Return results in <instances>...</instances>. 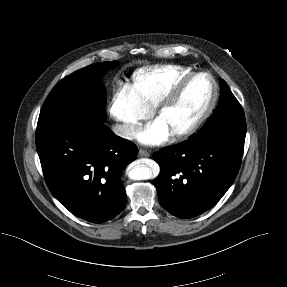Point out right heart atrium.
Here are the masks:
<instances>
[{
	"instance_id": "1",
	"label": "right heart atrium",
	"mask_w": 287,
	"mask_h": 287,
	"mask_svg": "<svg viewBox=\"0 0 287 287\" xmlns=\"http://www.w3.org/2000/svg\"><path fill=\"white\" fill-rule=\"evenodd\" d=\"M109 114L118 123L121 136L129 139L135 135L148 112L141 107L130 85L121 84L111 98Z\"/></svg>"
}]
</instances>
